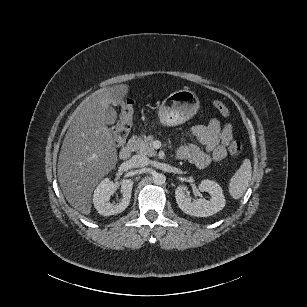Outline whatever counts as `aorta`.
I'll return each mask as SVG.
<instances>
[{"mask_svg": "<svg viewBox=\"0 0 307 307\" xmlns=\"http://www.w3.org/2000/svg\"><path fill=\"white\" fill-rule=\"evenodd\" d=\"M153 182L158 185H163L166 182V176L163 173H154Z\"/></svg>", "mask_w": 307, "mask_h": 307, "instance_id": "aorta-1", "label": "aorta"}]
</instances>
